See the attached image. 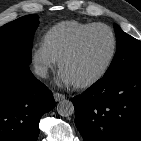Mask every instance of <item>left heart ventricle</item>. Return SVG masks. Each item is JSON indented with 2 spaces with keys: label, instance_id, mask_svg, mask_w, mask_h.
I'll return each mask as SVG.
<instances>
[{
  "label": "left heart ventricle",
  "instance_id": "b2bd125f",
  "mask_svg": "<svg viewBox=\"0 0 141 141\" xmlns=\"http://www.w3.org/2000/svg\"><path fill=\"white\" fill-rule=\"evenodd\" d=\"M111 46V37L106 30H93L84 38L78 50L64 62L62 70L73 83L87 80L102 68Z\"/></svg>",
  "mask_w": 141,
  "mask_h": 141
}]
</instances>
